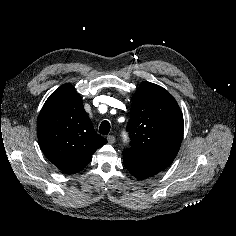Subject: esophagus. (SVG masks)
I'll use <instances>...</instances> for the list:
<instances>
[{
	"mask_svg": "<svg viewBox=\"0 0 236 236\" xmlns=\"http://www.w3.org/2000/svg\"><path fill=\"white\" fill-rule=\"evenodd\" d=\"M107 140L110 144H113L115 142L116 138L114 135H109V136H107Z\"/></svg>",
	"mask_w": 236,
	"mask_h": 236,
	"instance_id": "34e87169",
	"label": "esophagus"
}]
</instances>
